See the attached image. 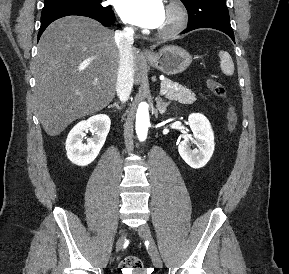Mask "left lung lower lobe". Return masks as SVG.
Returning <instances> with one entry per match:
<instances>
[{
  "label": "left lung lower lobe",
  "mask_w": 289,
  "mask_h": 274,
  "mask_svg": "<svg viewBox=\"0 0 289 274\" xmlns=\"http://www.w3.org/2000/svg\"><path fill=\"white\" fill-rule=\"evenodd\" d=\"M198 28H213L220 30L231 37V39L235 42L234 33L231 28L230 22L225 21H205L193 25H189L182 33L189 32Z\"/></svg>",
  "instance_id": "1"
}]
</instances>
